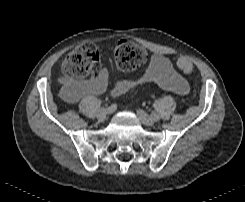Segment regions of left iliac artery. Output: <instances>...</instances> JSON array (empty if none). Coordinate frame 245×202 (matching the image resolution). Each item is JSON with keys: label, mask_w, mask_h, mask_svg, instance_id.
Listing matches in <instances>:
<instances>
[{"label": "left iliac artery", "mask_w": 245, "mask_h": 202, "mask_svg": "<svg viewBox=\"0 0 245 202\" xmlns=\"http://www.w3.org/2000/svg\"><path fill=\"white\" fill-rule=\"evenodd\" d=\"M154 118H155V120H157L158 119V116L157 115H154Z\"/></svg>", "instance_id": "44dca946"}]
</instances>
